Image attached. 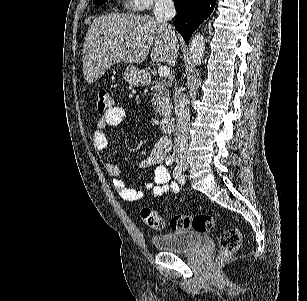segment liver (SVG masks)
Returning a JSON list of instances; mask_svg holds the SVG:
<instances>
[{
	"label": "liver",
	"instance_id": "obj_1",
	"mask_svg": "<svg viewBox=\"0 0 307 301\" xmlns=\"http://www.w3.org/2000/svg\"><path fill=\"white\" fill-rule=\"evenodd\" d=\"M151 50L153 62L174 66L179 44L155 16L110 12L94 18L83 44V74L96 82L115 62L140 64Z\"/></svg>",
	"mask_w": 307,
	"mask_h": 301
}]
</instances>
